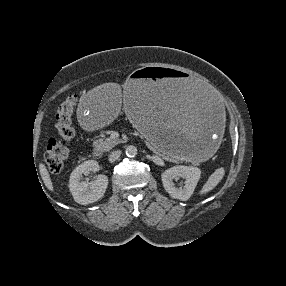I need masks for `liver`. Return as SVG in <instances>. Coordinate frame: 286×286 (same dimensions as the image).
Returning <instances> with one entry per match:
<instances>
[{"label": "liver", "mask_w": 286, "mask_h": 286, "mask_svg": "<svg viewBox=\"0 0 286 286\" xmlns=\"http://www.w3.org/2000/svg\"><path fill=\"white\" fill-rule=\"evenodd\" d=\"M124 88L126 89V85L124 86ZM39 172H40V175H41V178L45 184V186L50 190V191H53V183L51 181V178H50V175H49V172L46 168V166L43 164V163H40L39 164Z\"/></svg>", "instance_id": "1"}]
</instances>
